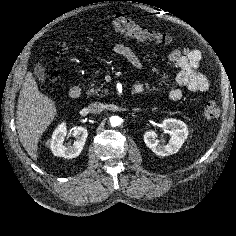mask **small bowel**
Listing matches in <instances>:
<instances>
[{
    "mask_svg": "<svg viewBox=\"0 0 236 236\" xmlns=\"http://www.w3.org/2000/svg\"><path fill=\"white\" fill-rule=\"evenodd\" d=\"M112 50L126 59L135 69L142 68V60L129 46L116 43ZM201 59V51L188 46L176 48L170 53L169 61L177 69L175 80L180 87H184L190 92H206L209 89L208 79L199 71ZM133 91L142 97H151V94L140 83L134 85ZM182 94L180 88H172L167 92L166 98L170 101H178Z\"/></svg>",
    "mask_w": 236,
    "mask_h": 236,
    "instance_id": "obj_1",
    "label": "small bowel"
}]
</instances>
